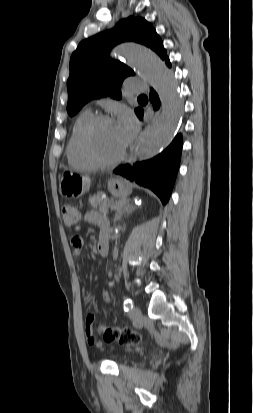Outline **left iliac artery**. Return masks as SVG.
Returning <instances> with one entry per match:
<instances>
[{"label":"left iliac artery","instance_id":"44dca946","mask_svg":"<svg viewBox=\"0 0 253 413\" xmlns=\"http://www.w3.org/2000/svg\"><path fill=\"white\" fill-rule=\"evenodd\" d=\"M123 308H124L125 311H128L129 309H132L133 308V301L130 298L126 297L125 300H124Z\"/></svg>","mask_w":253,"mask_h":413}]
</instances>
